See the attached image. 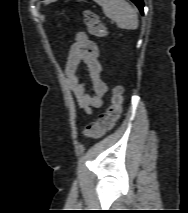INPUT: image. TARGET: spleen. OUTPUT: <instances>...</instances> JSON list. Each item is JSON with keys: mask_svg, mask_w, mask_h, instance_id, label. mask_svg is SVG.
Segmentation results:
<instances>
[{"mask_svg": "<svg viewBox=\"0 0 188 213\" xmlns=\"http://www.w3.org/2000/svg\"><path fill=\"white\" fill-rule=\"evenodd\" d=\"M99 4L104 14L115 21L119 28L135 30L138 28L137 11L125 0H93Z\"/></svg>", "mask_w": 188, "mask_h": 213, "instance_id": "obj_1", "label": "spleen"}]
</instances>
